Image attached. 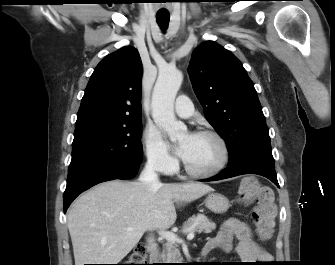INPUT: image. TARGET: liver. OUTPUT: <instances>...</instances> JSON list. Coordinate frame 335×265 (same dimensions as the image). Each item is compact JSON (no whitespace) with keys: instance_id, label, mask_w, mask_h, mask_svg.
<instances>
[{"instance_id":"liver-1","label":"liver","mask_w":335,"mask_h":265,"mask_svg":"<svg viewBox=\"0 0 335 265\" xmlns=\"http://www.w3.org/2000/svg\"><path fill=\"white\" fill-rule=\"evenodd\" d=\"M210 191L202 183L149 187L138 181L113 180L98 184L68 211L75 265L118 264L146 231L166 230L175 223L174 203H188Z\"/></svg>"}]
</instances>
